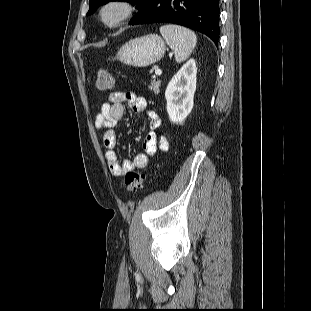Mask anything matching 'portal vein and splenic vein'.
Listing matches in <instances>:
<instances>
[{
  "label": "portal vein and splenic vein",
  "instance_id": "18ae733b",
  "mask_svg": "<svg viewBox=\"0 0 311 311\" xmlns=\"http://www.w3.org/2000/svg\"><path fill=\"white\" fill-rule=\"evenodd\" d=\"M155 74L156 75H161L162 74V70L161 69H156L155 70Z\"/></svg>",
  "mask_w": 311,
  "mask_h": 311
}]
</instances>
